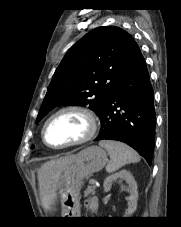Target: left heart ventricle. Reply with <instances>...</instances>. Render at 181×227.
<instances>
[{
	"instance_id": "b2bd125f",
	"label": "left heart ventricle",
	"mask_w": 181,
	"mask_h": 227,
	"mask_svg": "<svg viewBox=\"0 0 181 227\" xmlns=\"http://www.w3.org/2000/svg\"><path fill=\"white\" fill-rule=\"evenodd\" d=\"M86 131L85 119L76 113H63L55 117L46 129L47 141L55 146L80 138Z\"/></svg>"
}]
</instances>
